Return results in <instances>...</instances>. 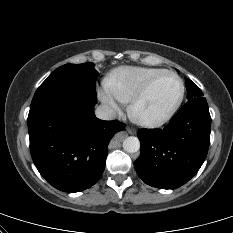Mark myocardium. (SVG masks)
I'll list each match as a JSON object with an SVG mask.
<instances>
[{
  "label": "myocardium",
  "mask_w": 233,
  "mask_h": 233,
  "mask_svg": "<svg viewBox=\"0 0 233 233\" xmlns=\"http://www.w3.org/2000/svg\"><path fill=\"white\" fill-rule=\"evenodd\" d=\"M164 75H171L174 76L180 86L179 95L176 99V101L172 104V106L160 117L154 118V119H142L136 114V108L138 104L145 98V96L148 94L154 83L161 78ZM185 95V85L182 80V78L174 71L171 70H163L159 72L158 74L154 75L152 78H150L141 88L140 90L132 97V99L129 102L128 106V112L130 116L136 120L139 124L147 127H158L166 122H168L174 114L177 112L179 107L181 106L183 99Z\"/></svg>",
  "instance_id": "1"
}]
</instances>
